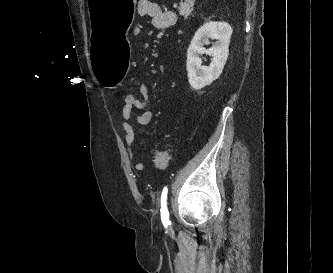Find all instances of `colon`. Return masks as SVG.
<instances>
[{
  "mask_svg": "<svg viewBox=\"0 0 333 273\" xmlns=\"http://www.w3.org/2000/svg\"><path fill=\"white\" fill-rule=\"evenodd\" d=\"M138 98L136 95L132 93H128L123 98L124 107L128 108H136ZM154 165L158 169H165L170 162V154L166 150H158L154 154Z\"/></svg>",
  "mask_w": 333,
  "mask_h": 273,
  "instance_id": "5ec220e1",
  "label": "colon"
}]
</instances>
